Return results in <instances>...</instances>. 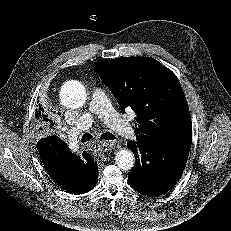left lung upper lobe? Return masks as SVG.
I'll return each instance as SVG.
<instances>
[{
    "label": "left lung upper lobe",
    "mask_w": 231,
    "mask_h": 231,
    "mask_svg": "<svg viewBox=\"0 0 231 231\" xmlns=\"http://www.w3.org/2000/svg\"><path fill=\"white\" fill-rule=\"evenodd\" d=\"M118 104L137 113L139 143L189 153L192 124L176 75L151 57H121L93 65Z\"/></svg>",
    "instance_id": "5c2ea615"
}]
</instances>
